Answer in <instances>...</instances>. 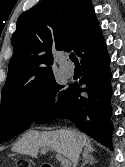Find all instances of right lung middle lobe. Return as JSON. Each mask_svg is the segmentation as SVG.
Here are the masks:
<instances>
[{"label": "right lung middle lobe", "instance_id": "obj_1", "mask_svg": "<svg viewBox=\"0 0 125 167\" xmlns=\"http://www.w3.org/2000/svg\"><path fill=\"white\" fill-rule=\"evenodd\" d=\"M63 88L51 78L36 88L9 99L0 105V142L16 136L31 126L45 111L54 105L57 92ZM67 90L58 94L61 102Z\"/></svg>", "mask_w": 125, "mask_h": 167}]
</instances>
